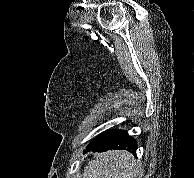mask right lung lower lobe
Masks as SVG:
<instances>
[{
	"label": "right lung lower lobe",
	"mask_w": 194,
	"mask_h": 178,
	"mask_svg": "<svg viewBox=\"0 0 194 178\" xmlns=\"http://www.w3.org/2000/svg\"><path fill=\"white\" fill-rule=\"evenodd\" d=\"M111 149L128 150L135 154L136 141L123 130H109L97 136L88 146L86 151L104 152Z\"/></svg>",
	"instance_id": "right-lung-lower-lobe-1"
}]
</instances>
